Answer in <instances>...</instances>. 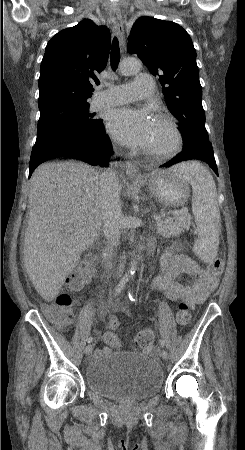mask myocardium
<instances>
[{"label": "myocardium", "instance_id": "obj_1", "mask_svg": "<svg viewBox=\"0 0 245 450\" xmlns=\"http://www.w3.org/2000/svg\"><path fill=\"white\" fill-rule=\"evenodd\" d=\"M155 122L164 126L171 134L172 140L170 145L164 148H147L145 154L153 158L165 159L180 152L184 144V139L176 121L167 114H160L155 118Z\"/></svg>", "mask_w": 245, "mask_h": 450}]
</instances>
